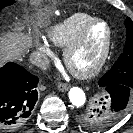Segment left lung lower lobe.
<instances>
[{
  "mask_svg": "<svg viewBox=\"0 0 133 133\" xmlns=\"http://www.w3.org/2000/svg\"><path fill=\"white\" fill-rule=\"evenodd\" d=\"M104 88L107 91L105 98L106 108L98 110L97 116L101 117L106 111L117 113L119 116L124 114L130 102V96L133 95V89L119 84L106 85Z\"/></svg>",
  "mask_w": 133,
  "mask_h": 133,
  "instance_id": "obj_1",
  "label": "left lung lower lobe"
}]
</instances>
